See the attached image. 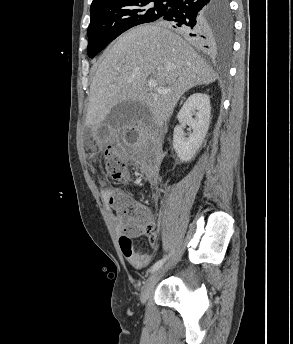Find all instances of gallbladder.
<instances>
[{"instance_id": "bac80fb5", "label": "gallbladder", "mask_w": 293, "mask_h": 344, "mask_svg": "<svg viewBox=\"0 0 293 344\" xmlns=\"http://www.w3.org/2000/svg\"><path fill=\"white\" fill-rule=\"evenodd\" d=\"M147 113V108L136 101H124L114 106L95 132L98 141H105L112 130L125 127Z\"/></svg>"}]
</instances>
